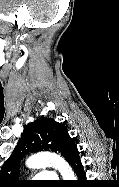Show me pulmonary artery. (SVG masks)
Wrapping results in <instances>:
<instances>
[{"label":"pulmonary artery","instance_id":"pulmonary-artery-1","mask_svg":"<svg viewBox=\"0 0 119 187\" xmlns=\"http://www.w3.org/2000/svg\"><path fill=\"white\" fill-rule=\"evenodd\" d=\"M35 178L44 179V180H53L57 178V175L54 172H42L39 173Z\"/></svg>","mask_w":119,"mask_h":187}]
</instances>
